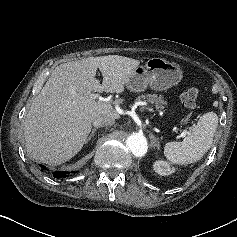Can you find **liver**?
<instances>
[{"label": "liver", "instance_id": "1", "mask_svg": "<svg viewBox=\"0 0 237 237\" xmlns=\"http://www.w3.org/2000/svg\"><path fill=\"white\" fill-rule=\"evenodd\" d=\"M139 64L137 59L108 55L57 66L26 115L27 152L51 166L75 156L98 116L119 118L111 103L93 99L91 93H123L128 76ZM97 69L102 73V84L95 78Z\"/></svg>", "mask_w": 237, "mask_h": 237}]
</instances>
